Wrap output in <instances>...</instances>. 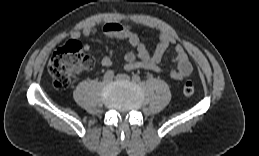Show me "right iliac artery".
<instances>
[{
  "mask_svg": "<svg viewBox=\"0 0 259 156\" xmlns=\"http://www.w3.org/2000/svg\"><path fill=\"white\" fill-rule=\"evenodd\" d=\"M114 77V71L112 70H108L105 74H104V79H112Z\"/></svg>",
  "mask_w": 259,
  "mask_h": 156,
  "instance_id": "obj_1",
  "label": "right iliac artery"
}]
</instances>
